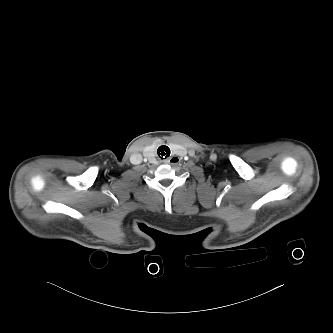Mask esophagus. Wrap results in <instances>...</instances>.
I'll return each instance as SVG.
<instances>
[{
    "instance_id": "obj_1",
    "label": "esophagus",
    "mask_w": 333,
    "mask_h": 333,
    "mask_svg": "<svg viewBox=\"0 0 333 333\" xmlns=\"http://www.w3.org/2000/svg\"><path fill=\"white\" fill-rule=\"evenodd\" d=\"M181 161V159L177 156L170 157L167 162L170 164H178Z\"/></svg>"
}]
</instances>
